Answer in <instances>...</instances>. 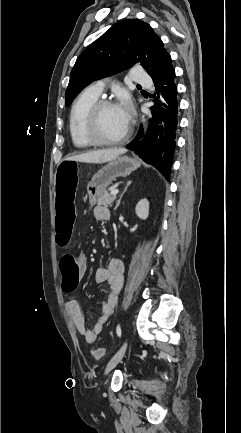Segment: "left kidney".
Returning a JSON list of instances; mask_svg holds the SVG:
<instances>
[{"label": "left kidney", "mask_w": 241, "mask_h": 433, "mask_svg": "<svg viewBox=\"0 0 241 433\" xmlns=\"http://www.w3.org/2000/svg\"><path fill=\"white\" fill-rule=\"evenodd\" d=\"M135 211L140 219L146 220L149 215V201L147 199L140 200L136 205Z\"/></svg>", "instance_id": "left-kidney-1"}]
</instances>
